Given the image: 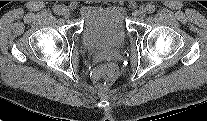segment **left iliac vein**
<instances>
[{
	"label": "left iliac vein",
	"mask_w": 207,
	"mask_h": 121,
	"mask_svg": "<svg viewBox=\"0 0 207 121\" xmlns=\"http://www.w3.org/2000/svg\"><path fill=\"white\" fill-rule=\"evenodd\" d=\"M146 13H147V9L145 7H140L139 10H138V16L143 18L146 16Z\"/></svg>",
	"instance_id": "4c4485c4"
}]
</instances>
